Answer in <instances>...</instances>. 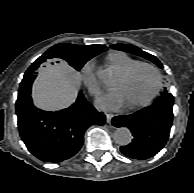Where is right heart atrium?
I'll return each mask as SVG.
<instances>
[{"label":"right heart atrium","instance_id":"d8ad5b80","mask_svg":"<svg viewBox=\"0 0 194 193\" xmlns=\"http://www.w3.org/2000/svg\"><path fill=\"white\" fill-rule=\"evenodd\" d=\"M82 77L84 84L88 88L89 92L97 96L101 92V86L94 71V64L92 62H86L82 67Z\"/></svg>","mask_w":194,"mask_h":193}]
</instances>
